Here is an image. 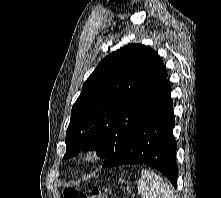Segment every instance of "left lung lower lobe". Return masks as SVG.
I'll return each instance as SVG.
<instances>
[{
    "label": "left lung lower lobe",
    "instance_id": "0a47b994",
    "mask_svg": "<svg viewBox=\"0 0 221 198\" xmlns=\"http://www.w3.org/2000/svg\"><path fill=\"white\" fill-rule=\"evenodd\" d=\"M174 126L171 87L168 85L156 106L102 166L149 165L162 172L176 187L178 168L175 160L177 143L173 138Z\"/></svg>",
    "mask_w": 221,
    "mask_h": 198
}]
</instances>
